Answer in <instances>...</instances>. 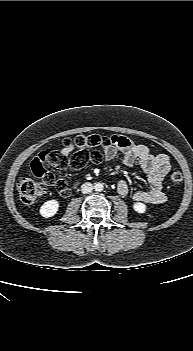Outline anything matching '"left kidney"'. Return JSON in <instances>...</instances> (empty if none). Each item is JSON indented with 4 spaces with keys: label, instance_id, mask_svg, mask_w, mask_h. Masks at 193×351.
I'll return each mask as SVG.
<instances>
[{
    "label": "left kidney",
    "instance_id": "5707ae66",
    "mask_svg": "<svg viewBox=\"0 0 193 351\" xmlns=\"http://www.w3.org/2000/svg\"><path fill=\"white\" fill-rule=\"evenodd\" d=\"M133 208L137 213L141 214V213H145L147 207L144 203L136 202L134 203Z\"/></svg>",
    "mask_w": 193,
    "mask_h": 351
}]
</instances>
